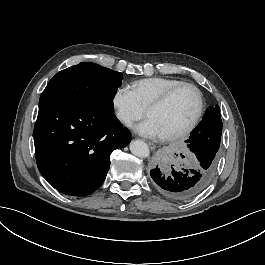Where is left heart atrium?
<instances>
[{
  "instance_id": "1",
  "label": "left heart atrium",
  "mask_w": 265,
  "mask_h": 265,
  "mask_svg": "<svg viewBox=\"0 0 265 265\" xmlns=\"http://www.w3.org/2000/svg\"><path fill=\"white\" fill-rule=\"evenodd\" d=\"M135 131L141 136L153 139H161L164 137L161 129L156 121L152 118L140 122L135 126Z\"/></svg>"
}]
</instances>
